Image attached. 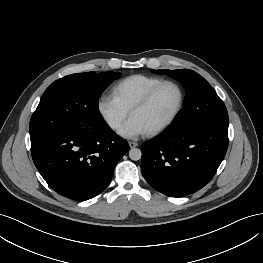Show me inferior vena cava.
I'll list each match as a JSON object with an SVG mask.
<instances>
[{
    "instance_id": "602c4592",
    "label": "inferior vena cava",
    "mask_w": 263,
    "mask_h": 263,
    "mask_svg": "<svg viewBox=\"0 0 263 263\" xmlns=\"http://www.w3.org/2000/svg\"><path fill=\"white\" fill-rule=\"evenodd\" d=\"M118 124L117 123H115V124H113V127H116Z\"/></svg>"
}]
</instances>
